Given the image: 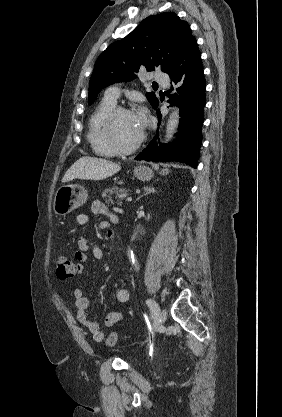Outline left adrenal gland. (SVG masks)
<instances>
[{"label":"left adrenal gland","instance_id":"obj_1","mask_svg":"<svg viewBox=\"0 0 282 417\" xmlns=\"http://www.w3.org/2000/svg\"><path fill=\"white\" fill-rule=\"evenodd\" d=\"M143 188L145 190V194H150V192H155L154 186H143ZM141 196H144V194H141ZM141 196H138V198H136V200H139V198H141Z\"/></svg>","mask_w":282,"mask_h":417}]
</instances>
